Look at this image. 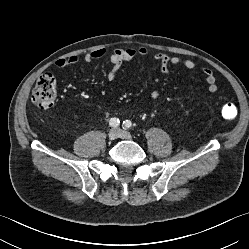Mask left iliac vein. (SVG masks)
<instances>
[{
  "label": "left iliac vein",
  "mask_w": 249,
  "mask_h": 249,
  "mask_svg": "<svg viewBox=\"0 0 249 249\" xmlns=\"http://www.w3.org/2000/svg\"><path fill=\"white\" fill-rule=\"evenodd\" d=\"M117 130H118V136L120 138H123V139H131L132 138V135L128 131H124L121 129H117Z\"/></svg>",
  "instance_id": "left-iliac-vein-1"
}]
</instances>
